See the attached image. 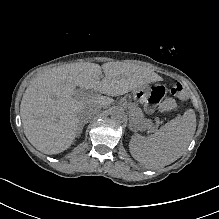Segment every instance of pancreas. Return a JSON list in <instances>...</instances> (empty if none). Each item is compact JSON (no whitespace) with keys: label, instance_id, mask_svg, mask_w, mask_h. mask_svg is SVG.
Instances as JSON below:
<instances>
[{"label":"pancreas","instance_id":"1","mask_svg":"<svg viewBox=\"0 0 219 219\" xmlns=\"http://www.w3.org/2000/svg\"><path fill=\"white\" fill-rule=\"evenodd\" d=\"M132 114L134 123L137 125H142L144 130L148 131L151 129H156L158 127V124H154L153 120L143 118V113L141 109H134Z\"/></svg>","mask_w":219,"mask_h":219}]
</instances>
